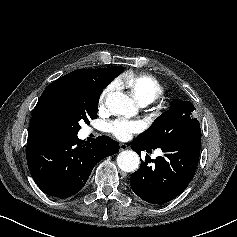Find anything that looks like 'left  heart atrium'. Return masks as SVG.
<instances>
[{
	"label": "left heart atrium",
	"instance_id": "left-heart-atrium-1",
	"mask_svg": "<svg viewBox=\"0 0 237 237\" xmlns=\"http://www.w3.org/2000/svg\"><path fill=\"white\" fill-rule=\"evenodd\" d=\"M142 130V124L138 121H128L124 119H117L109 124V131L117 139L126 141L135 133Z\"/></svg>",
	"mask_w": 237,
	"mask_h": 237
}]
</instances>
